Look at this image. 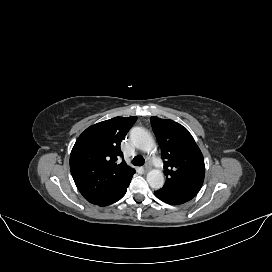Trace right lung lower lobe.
Here are the masks:
<instances>
[{
	"label": "right lung lower lobe",
	"instance_id": "1",
	"mask_svg": "<svg viewBox=\"0 0 272 272\" xmlns=\"http://www.w3.org/2000/svg\"><path fill=\"white\" fill-rule=\"evenodd\" d=\"M130 181L124 187H122L117 193H115L114 195H112L111 197H109L108 199L104 200L103 202H101L97 205L107 206V205L113 204L116 201L120 200L125 195L127 187L130 184Z\"/></svg>",
	"mask_w": 272,
	"mask_h": 272
}]
</instances>
